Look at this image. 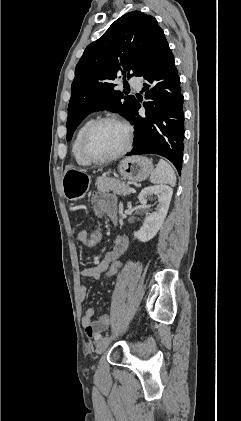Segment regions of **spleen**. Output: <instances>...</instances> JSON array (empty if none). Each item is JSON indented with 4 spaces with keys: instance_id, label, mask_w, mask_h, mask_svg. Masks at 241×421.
Masks as SVG:
<instances>
[{
    "instance_id": "spleen-1",
    "label": "spleen",
    "mask_w": 241,
    "mask_h": 421,
    "mask_svg": "<svg viewBox=\"0 0 241 421\" xmlns=\"http://www.w3.org/2000/svg\"><path fill=\"white\" fill-rule=\"evenodd\" d=\"M150 182L154 184H169L175 186L176 175L170 164L161 159L151 173Z\"/></svg>"
}]
</instances>
